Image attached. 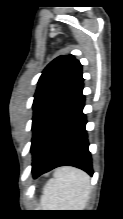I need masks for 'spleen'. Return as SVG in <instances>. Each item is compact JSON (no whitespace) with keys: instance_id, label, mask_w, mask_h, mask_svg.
<instances>
[{"instance_id":"1","label":"spleen","mask_w":123,"mask_h":219,"mask_svg":"<svg viewBox=\"0 0 123 219\" xmlns=\"http://www.w3.org/2000/svg\"><path fill=\"white\" fill-rule=\"evenodd\" d=\"M90 195L89 176L73 167H61L43 190V210H84Z\"/></svg>"}]
</instances>
